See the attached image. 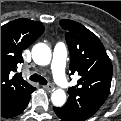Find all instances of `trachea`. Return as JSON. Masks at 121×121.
Here are the masks:
<instances>
[{"instance_id": "1", "label": "trachea", "mask_w": 121, "mask_h": 121, "mask_svg": "<svg viewBox=\"0 0 121 121\" xmlns=\"http://www.w3.org/2000/svg\"><path fill=\"white\" fill-rule=\"evenodd\" d=\"M29 79L33 82H38L41 85H47V80L38 74L31 75Z\"/></svg>"}]
</instances>
